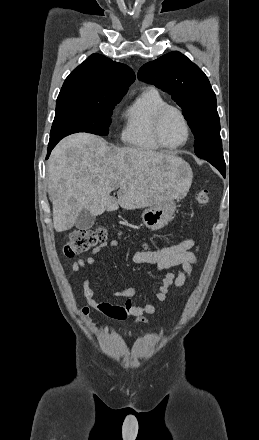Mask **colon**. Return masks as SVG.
Instances as JSON below:
<instances>
[{"mask_svg":"<svg viewBox=\"0 0 259 440\" xmlns=\"http://www.w3.org/2000/svg\"><path fill=\"white\" fill-rule=\"evenodd\" d=\"M196 200L200 205L209 202L207 190H200L196 194ZM108 231L103 227L93 229H77L72 231L64 245V254L67 257L86 252L98 244H102L108 238Z\"/></svg>","mask_w":259,"mask_h":440,"instance_id":"5ec220e1","label":"colon"}]
</instances>
